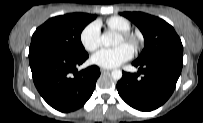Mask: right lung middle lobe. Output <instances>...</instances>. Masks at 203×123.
Returning a JSON list of instances; mask_svg holds the SVG:
<instances>
[{
    "label": "right lung middle lobe",
    "instance_id": "right-lung-middle-lobe-1",
    "mask_svg": "<svg viewBox=\"0 0 203 123\" xmlns=\"http://www.w3.org/2000/svg\"><path fill=\"white\" fill-rule=\"evenodd\" d=\"M96 18L86 13H70L50 18L36 29L30 49L42 48L69 55H83L80 35L85 26Z\"/></svg>",
    "mask_w": 203,
    "mask_h": 123
}]
</instances>
